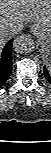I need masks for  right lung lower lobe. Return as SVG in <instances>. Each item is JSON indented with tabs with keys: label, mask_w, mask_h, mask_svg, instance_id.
<instances>
[{
	"label": "right lung lower lobe",
	"mask_w": 51,
	"mask_h": 153,
	"mask_svg": "<svg viewBox=\"0 0 51 153\" xmlns=\"http://www.w3.org/2000/svg\"><path fill=\"white\" fill-rule=\"evenodd\" d=\"M12 42L8 41L4 49L0 48V87L5 84L12 72Z\"/></svg>",
	"instance_id": "1"
}]
</instances>
